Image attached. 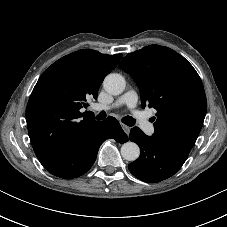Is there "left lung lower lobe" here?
I'll return each instance as SVG.
<instances>
[{"label": "left lung lower lobe", "instance_id": "1", "mask_svg": "<svg viewBox=\"0 0 227 227\" xmlns=\"http://www.w3.org/2000/svg\"><path fill=\"white\" fill-rule=\"evenodd\" d=\"M129 138L138 144L141 154L128 168L142 181L154 183L165 180L173 176L188 158V154L168 146L154 134L145 135L138 127L131 129Z\"/></svg>", "mask_w": 227, "mask_h": 227}]
</instances>
